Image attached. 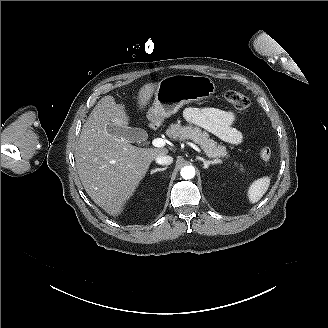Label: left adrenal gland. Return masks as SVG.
<instances>
[{
	"label": "left adrenal gland",
	"mask_w": 328,
	"mask_h": 328,
	"mask_svg": "<svg viewBox=\"0 0 328 328\" xmlns=\"http://www.w3.org/2000/svg\"><path fill=\"white\" fill-rule=\"evenodd\" d=\"M197 159L199 160V158H197ZM200 161H202L204 163L205 170H208L209 166L214 165L213 162L206 161L205 159H201Z\"/></svg>",
	"instance_id": "left-adrenal-gland-1"
}]
</instances>
